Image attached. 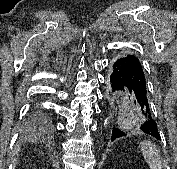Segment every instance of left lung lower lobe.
<instances>
[{
    "label": "left lung lower lobe",
    "instance_id": "left-lung-lower-lobe-1",
    "mask_svg": "<svg viewBox=\"0 0 177 169\" xmlns=\"http://www.w3.org/2000/svg\"><path fill=\"white\" fill-rule=\"evenodd\" d=\"M110 76L115 103H135L145 116L140 129L156 139H161L157 123L152 117L147 98L145 70L138 57L125 55L113 61ZM126 133L118 128L112 130L111 141L125 136Z\"/></svg>",
    "mask_w": 177,
    "mask_h": 169
}]
</instances>
